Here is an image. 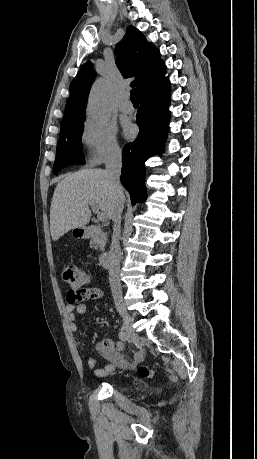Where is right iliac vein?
I'll return each instance as SVG.
<instances>
[{"label":"right iliac vein","instance_id":"63e3f726","mask_svg":"<svg viewBox=\"0 0 257 459\" xmlns=\"http://www.w3.org/2000/svg\"><path fill=\"white\" fill-rule=\"evenodd\" d=\"M118 311H119V314H120V316L122 317V320H123V329L128 334L130 340L132 342H135L137 340V338H138V335L134 330L133 320H132L131 316L123 308H119Z\"/></svg>","mask_w":257,"mask_h":459}]
</instances>
